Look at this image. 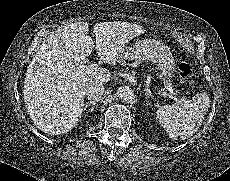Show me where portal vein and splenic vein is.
Segmentation results:
<instances>
[{
  "instance_id": "1",
  "label": "portal vein and splenic vein",
  "mask_w": 230,
  "mask_h": 181,
  "mask_svg": "<svg viewBox=\"0 0 230 181\" xmlns=\"http://www.w3.org/2000/svg\"><path fill=\"white\" fill-rule=\"evenodd\" d=\"M98 67L97 64H92L90 66H87V65H83V66H80V72H84V73H91L92 71L96 70ZM162 95H165V93H162Z\"/></svg>"
}]
</instances>
